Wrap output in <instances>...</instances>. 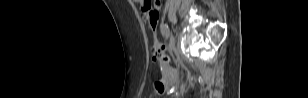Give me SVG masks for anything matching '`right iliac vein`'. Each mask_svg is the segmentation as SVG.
Instances as JSON below:
<instances>
[{
    "mask_svg": "<svg viewBox=\"0 0 308 98\" xmlns=\"http://www.w3.org/2000/svg\"><path fill=\"white\" fill-rule=\"evenodd\" d=\"M173 49H174V38L173 36H171L169 40V51L172 52Z\"/></svg>",
    "mask_w": 308,
    "mask_h": 98,
    "instance_id": "63e3f726",
    "label": "right iliac vein"
}]
</instances>
